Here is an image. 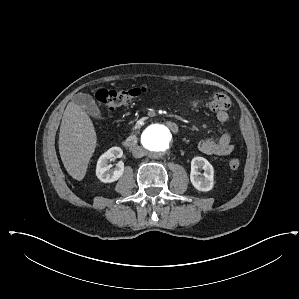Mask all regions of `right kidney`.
<instances>
[{"label": "right kidney", "instance_id": "1", "mask_svg": "<svg viewBox=\"0 0 299 299\" xmlns=\"http://www.w3.org/2000/svg\"><path fill=\"white\" fill-rule=\"evenodd\" d=\"M123 151L120 147H112L100 156L96 166V175L104 183L117 181L124 172V163L119 162L114 169H110V159L121 158Z\"/></svg>", "mask_w": 299, "mask_h": 299}]
</instances>
